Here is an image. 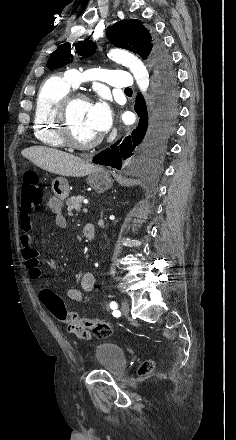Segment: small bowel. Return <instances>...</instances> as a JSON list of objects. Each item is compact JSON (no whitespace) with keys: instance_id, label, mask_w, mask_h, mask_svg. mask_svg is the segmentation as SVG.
<instances>
[{"instance_id":"obj_1","label":"small bowel","mask_w":236,"mask_h":440,"mask_svg":"<svg viewBox=\"0 0 236 440\" xmlns=\"http://www.w3.org/2000/svg\"><path fill=\"white\" fill-rule=\"evenodd\" d=\"M47 206L49 210L54 214L56 224L60 227H64L66 225V221L62 214L63 203L61 199L56 196L51 197L47 203ZM21 228L23 230V234L20 238L22 256L26 261V267L29 271V275L31 276V278L39 279L42 275V269L39 263L38 252L32 247V238L30 235V231L32 229V220L30 215L22 217ZM48 263L50 264V266H52V263L50 261ZM80 285V289L69 288L67 290V296L70 299L74 301H82L84 295L90 292L95 285L94 275L91 272L83 273L81 276ZM39 298L42 304L45 306L43 300L40 297V294ZM86 329L87 328L85 324H71L68 326V331L71 333H76L75 335L77 339H84L88 337L89 334L88 332H86Z\"/></svg>"}]
</instances>
